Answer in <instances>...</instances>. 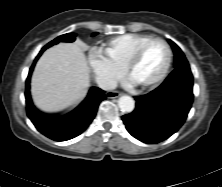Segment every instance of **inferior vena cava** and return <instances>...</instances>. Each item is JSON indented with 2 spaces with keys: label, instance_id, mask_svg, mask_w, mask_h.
Wrapping results in <instances>:
<instances>
[{
  "label": "inferior vena cava",
  "instance_id": "1",
  "mask_svg": "<svg viewBox=\"0 0 222 187\" xmlns=\"http://www.w3.org/2000/svg\"><path fill=\"white\" fill-rule=\"evenodd\" d=\"M96 82L99 88L103 90H112L115 89L117 86L116 81L109 77H97Z\"/></svg>",
  "mask_w": 222,
  "mask_h": 187
}]
</instances>
